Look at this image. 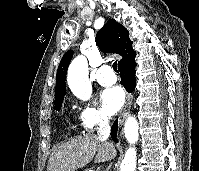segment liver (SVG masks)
<instances>
[{
	"instance_id": "liver-1",
	"label": "liver",
	"mask_w": 199,
	"mask_h": 171,
	"mask_svg": "<svg viewBox=\"0 0 199 171\" xmlns=\"http://www.w3.org/2000/svg\"><path fill=\"white\" fill-rule=\"evenodd\" d=\"M115 156L116 149L112 143L95 134H84L59 145L50 155L47 171H75L93 158L95 163H100Z\"/></svg>"
}]
</instances>
